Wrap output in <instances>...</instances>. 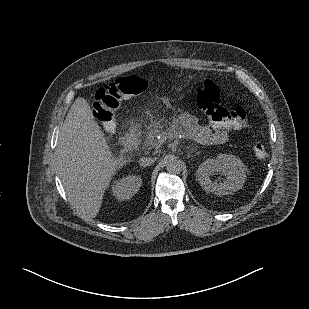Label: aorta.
<instances>
[{"mask_svg": "<svg viewBox=\"0 0 309 309\" xmlns=\"http://www.w3.org/2000/svg\"><path fill=\"white\" fill-rule=\"evenodd\" d=\"M166 170L171 174H179L183 170V162L175 156H170L165 162Z\"/></svg>", "mask_w": 309, "mask_h": 309, "instance_id": "obj_1", "label": "aorta"}]
</instances>
